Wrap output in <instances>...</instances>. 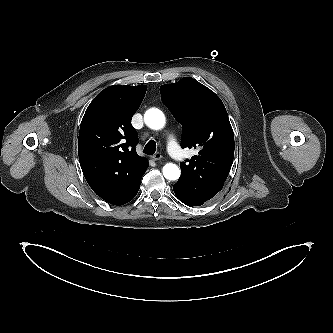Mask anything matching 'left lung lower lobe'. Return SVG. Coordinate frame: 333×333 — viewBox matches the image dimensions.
<instances>
[{"label":"left lung lower lobe","mask_w":333,"mask_h":333,"mask_svg":"<svg viewBox=\"0 0 333 333\" xmlns=\"http://www.w3.org/2000/svg\"><path fill=\"white\" fill-rule=\"evenodd\" d=\"M174 193L177 196V198L187 206L193 207V206H200L204 204L206 201L201 199L199 196L196 194L188 191L184 187L175 184L174 187Z\"/></svg>","instance_id":"1"}]
</instances>
